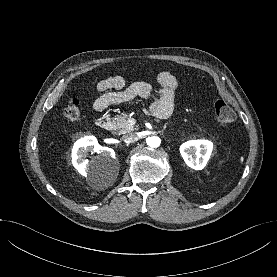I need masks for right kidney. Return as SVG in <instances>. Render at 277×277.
<instances>
[{
	"mask_svg": "<svg viewBox=\"0 0 277 277\" xmlns=\"http://www.w3.org/2000/svg\"><path fill=\"white\" fill-rule=\"evenodd\" d=\"M88 151L98 152L99 156L97 159L102 164L113 163L116 164L115 152L113 149L108 147H102L98 144L96 138L93 136H87L78 140L72 149V163L73 166L83 176H87L88 173L96 172L99 168L94 163H89L85 159Z\"/></svg>",
	"mask_w": 277,
	"mask_h": 277,
	"instance_id": "1",
	"label": "right kidney"
}]
</instances>
